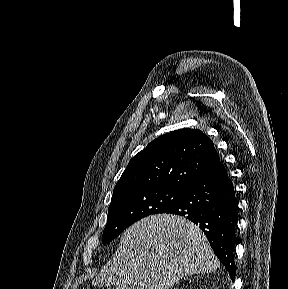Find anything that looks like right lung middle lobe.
I'll return each mask as SVG.
<instances>
[{
    "label": "right lung middle lobe",
    "instance_id": "right-lung-middle-lobe-1",
    "mask_svg": "<svg viewBox=\"0 0 288 289\" xmlns=\"http://www.w3.org/2000/svg\"><path fill=\"white\" fill-rule=\"evenodd\" d=\"M185 189L157 187L113 194L102 243L106 245L125 228L151 214L164 213L183 196Z\"/></svg>",
    "mask_w": 288,
    "mask_h": 289
}]
</instances>
